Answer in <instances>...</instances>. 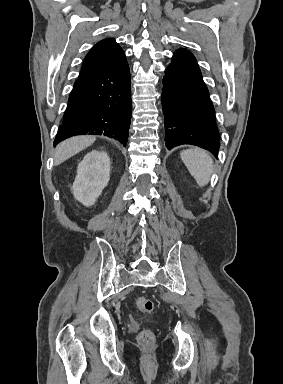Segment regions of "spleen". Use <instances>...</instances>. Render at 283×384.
<instances>
[{
  "mask_svg": "<svg viewBox=\"0 0 283 384\" xmlns=\"http://www.w3.org/2000/svg\"><path fill=\"white\" fill-rule=\"evenodd\" d=\"M191 176L195 178L198 186H207L213 174V160L205 150L193 148V150H184L180 154Z\"/></svg>",
  "mask_w": 283,
  "mask_h": 384,
  "instance_id": "1",
  "label": "spleen"
}]
</instances>
